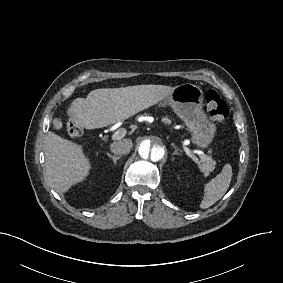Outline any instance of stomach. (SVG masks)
I'll return each instance as SVG.
<instances>
[{
	"label": "stomach",
	"mask_w": 283,
	"mask_h": 283,
	"mask_svg": "<svg viewBox=\"0 0 283 283\" xmlns=\"http://www.w3.org/2000/svg\"><path fill=\"white\" fill-rule=\"evenodd\" d=\"M170 106L191 132V140L201 148L212 142L216 127L203 110V92L200 87L185 83L172 88V92L159 103L160 107Z\"/></svg>",
	"instance_id": "0dacf381"
}]
</instances>
